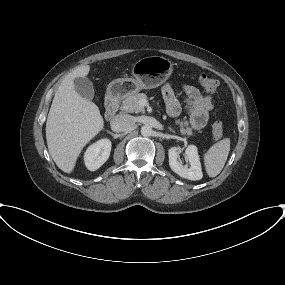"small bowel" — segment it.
Returning a JSON list of instances; mask_svg holds the SVG:
<instances>
[{
    "instance_id": "c3829d8e",
    "label": "small bowel",
    "mask_w": 285,
    "mask_h": 285,
    "mask_svg": "<svg viewBox=\"0 0 285 285\" xmlns=\"http://www.w3.org/2000/svg\"><path fill=\"white\" fill-rule=\"evenodd\" d=\"M183 90L190 112V126L196 130L202 129L207 124L209 113L213 108L212 97L210 95L201 94L196 87L188 84L183 85ZM162 95L166 103L168 114L171 117H178L181 107L171 83H166L163 86Z\"/></svg>"
}]
</instances>
